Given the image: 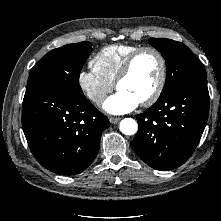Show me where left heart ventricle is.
I'll return each instance as SVG.
<instances>
[{"mask_svg":"<svg viewBox=\"0 0 221 221\" xmlns=\"http://www.w3.org/2000/svg\"><path fill=\"white\" fill-rule=\"evenodd\" d=\"M160 75V63L152 52L141 54L134 63L130 75L118 86L119 91L135 97L140 103L154 91Z\"/></svg>","mask_w":221,"mask_h":221,"instance_id":"left-heart-ventricle-1","label":"left heart ventricle"}]
</instances>
